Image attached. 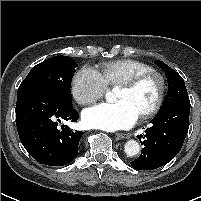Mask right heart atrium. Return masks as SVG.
<instances>
[{"label":"right heart atrium","mask_w":201,"mask_h":201,"mask_svg":"<svg viewBox=\"0 0 201 201\" xmlns=\"http://www.w3.org/2000/svg\"><path fill=\"white\" fill-rule=\"evenodd\" d=\"M107 90V84L101 73L90 67L84 66L78 70L72 79V95L80 105H90L102 98Z\"/></svg>","instance_id":"right-heart-atrium-1"}]
</instances>
